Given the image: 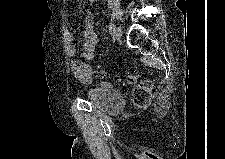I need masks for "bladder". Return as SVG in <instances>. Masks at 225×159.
Returning a JSON list of instances; mask_svg holds the SVG:
<instances>
[{"instance_id": "bladder-1", "label": "bladder", "mask_w": 225, "mask_h": 159, "mask_svg": "<svg viewBox=\"0 0 225 159\" xmlns=\"http://www.w3.org/2000/svg\"><path fill=\"white\" fill-rule=\"evenodd\" d=\"M87 97L92 105L107 114H115L125 105L122 94L111 86L92 87L88 90Z\"/></svg>"}]
</instances>
